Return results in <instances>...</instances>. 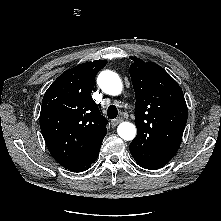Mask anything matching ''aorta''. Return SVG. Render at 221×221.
Returning <instances> with one entry per match:
<instances>
[{"instance_id": "762f6f07", "label": "aorta", "mask_w": 221, "mask_h": 221, "mask_svg": "<svg viewBox=\"0 0 221 221\" xmlns=\"http://www.w3.org/2000/svg\"><path fill=\"white\" fill-rule=\"evenodd\" d=\"M97 84L104 93L113 96L119 95L123 88L118 74L110 70L102 71L98 75ZM117 133L122 139L130 141L136 136V127L130 122H122L117 128Z\"/></svg>"}]
</instances>
